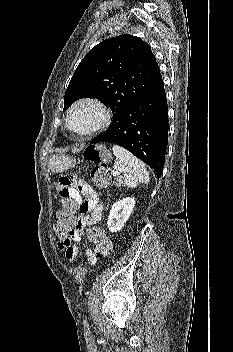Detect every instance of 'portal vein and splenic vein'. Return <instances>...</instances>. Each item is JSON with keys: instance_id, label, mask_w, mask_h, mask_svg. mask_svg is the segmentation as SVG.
Segmentation results:
<instances>
[{"instance_id": "18ae733b", "label": "portal vein and splenic vein", "mask_w": 233, "mask_h": 352, "mask_svg": "<svg viewBox=\"0 0 233 352\" xmlns=\"http://www.w3.org/2000/svg\"><path fill=\"white\" fill-rule=\"evenodd\" d=\"M119 175H120L119 173L113 171V176H114V177H117V176H119Z\"/></svg>"}]
</instances>
